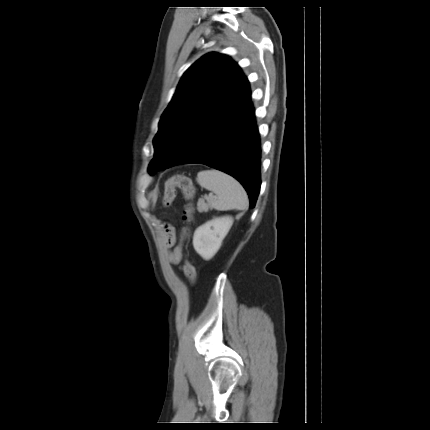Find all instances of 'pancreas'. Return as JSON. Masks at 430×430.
Returning a JSON list of instances; mask_svg holds the SVG:
<instances>
[{
    "mask_svg": "<svg viewBox=\"0 0 430 430\" xmlns=\"http://www.w3.org/2000/svg\"><path fill=\"white\" fill-rule=\"evenodd\" d=\"M210 202H211V198H207V203H205V201L203 199H200L197 203L198 212H200V213L208 212V210L210 208Z\"/></svg>",
    "mask_w": 430,
    "mask_h": 430,
    "instance_id": "pancreas-1",
    "label": "pancreas"
}]
</instances>
